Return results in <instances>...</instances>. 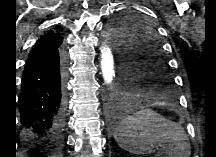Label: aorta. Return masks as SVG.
<instances>
[{
  "label": "aorta",
  "mask_w": 216,
  "mask_h": 157,
  "mask_svg": "<svg viewBox=\"0 0 216 157\" xmlns=\"http://www.w3.org/2000/svg\"><path fill=\"white\" fill-rule=\"evenodd\" d=\"M100 66L104 82L107 85H112L116 74L114 69V58L108 45H104L101 48Z\"/></svg>",
  "instance_id": "762f6f07"
}]
</instances>
